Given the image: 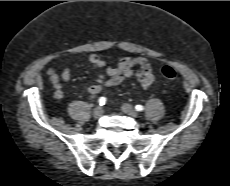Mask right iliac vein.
<instances>
[{
  "mask_svg": "<svg viewBox=\"0 0 230 186\" xmlns=\"http://www.w3.org/2000/svg\"><path fill=\"white\" fill-rule=\"evenodd\" d=\"M103 113H104V110L102 107H96L93 111V117L95 119H98L103 115Z\"/></svg>",
  "mask_w": 230,
  "mask_h": 186,
  "instance_id": "obj_1",
  "label": "right iliac vein"
}]
</instances>
